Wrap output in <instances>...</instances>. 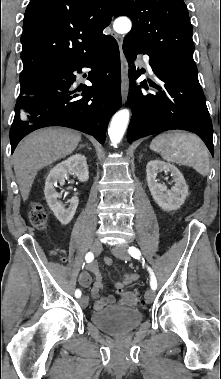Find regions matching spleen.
<instances>
[{"mask_svg":"<svg viewBox=\"0 0 221 379\" xmlns=\"http://www.w3.org/2000/svg\"><path fill=\"white\" fill-rule=\"evenodd\" d=\"M150 148L168 162L191 166L202 176L210 170L209 152L203 141L194 134L170 131L156 136Z\"/></svg>","mask_w":221,"mask_h":379,"instance_id":"spleen-1","label":"spleen"}]
</instances>
